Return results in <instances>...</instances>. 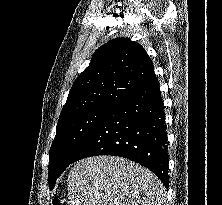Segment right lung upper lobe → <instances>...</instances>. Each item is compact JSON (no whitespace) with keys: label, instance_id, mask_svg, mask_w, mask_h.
I'll return each instance as SVG.
<instances>
[{"label":"right lung upper lobe","instance_id":"obj_1","mask_svg":"<svg viewBox=\"0 0 222 205\" xmlns=\"http://www.w3.org/2000/svg\"><path fill=\"white\" fill-rule=\"evenodd\" d=\"M154 79L153 63L142 46L127 38L111 40L96 50L74 82L59 120L94 106L118 103Z\"/></svg>","mask_w":222,"mask_h":205}]
</instances>
